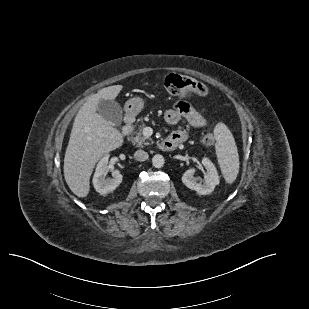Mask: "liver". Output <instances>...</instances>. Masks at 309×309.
I'll list each match as a JSON object with an SVG mask.
<instances>
[{
	"instance_id": "6515ba94",
	"label": "liver",
	"mask_w": 309,
	"mask_h": 309,
	"mask_svg": "<svg viewBox=\"0 0 309 309\" xmlns=\"http://www.w3.org/2000/svg\"><path fill=\"white\" fill-rule=\"evenodd\" d=\"M122 85L103 88L91 95L78 111L64 157V177L78 197L90 191V176L97 161L123 144V136L97 113L101 99L114 100Z\"/></svg>"
}]
</instances>
